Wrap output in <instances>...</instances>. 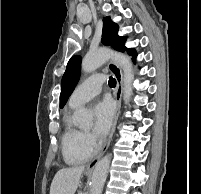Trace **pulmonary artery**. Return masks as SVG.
I'll list each match as a JSON object with an SVG mask.
<instances>
[{
	"mask_svg": "<svg viewBox=\"0 0 201 194\" xmlns=\"http://www.w3.org/2000/svg\"><path fill=\"white\" fill-rule=\"evenodd\" d=\"M105 77L101 74H96L85 79L71 94L69 105L78 107L90 99L97 96L101 90Z\"/></svg>",
	"mask_w": 201,
	"mask_h": 194,
	"instance_id": "obj_1",
	"label": "pulmonary artery"
}]
</instances>
